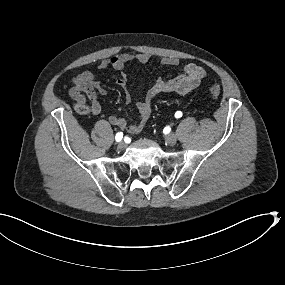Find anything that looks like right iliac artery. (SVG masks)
I'll return each instance as SVG.
<instances>
[{"mask_svg":"<svg viewBox=\"0 0 285 285\" xmlns=\"http://www.w3.org/2000/svg\"><path fill=\"white\" fill-rule=\"evenodd\" d=\"M123 138V133L122 132H118L115 136V139L117 142H120Z\"/></svg>","mask_w":285,"mask_h":285,"instance_id":"obj_1","label":"right iliac artery"}]
</instances>
